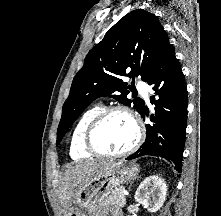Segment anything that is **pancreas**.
<instances>
[{
	"label": "pancreas",
	"instance_id": "cf45deb5",
	"mask_svg": "<svg viewBox=\"0 0 221 216\" xmlns=\"http://www.w3.org/2000/svg\"><path fill=\"white\" fill-rule=\"evenodd\" d=\"M105 205H116L118 207H124L126 204V198L123 195V188H116L112 194L105 200Z\"/></svg>",
	"mask_w": 221,
	"mask_h": 216
}]
</instances>
